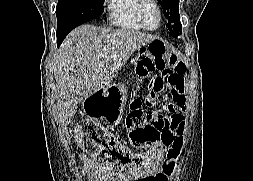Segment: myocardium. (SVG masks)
<instances>
[{"instance_id":"obj_1","label":"myocardium","mask_w":253,"mask_h":181,"mask_svg":"<svg viewBox=\"0 0 253 181\" xmlns=\"http://www.w3.org/2000/svg\"><path fill=\"white\" fill-rule=\"evenodd\" d=\"M147 4H152L158 13V24L156 27H149L146 25L144 18H143V9L145 7V5ZM135 17L137 22L139 23V25L147 31H156L157 29L160 28V26L162 25V21H163V11L161 8L160 3L157 0H138L136 7H135Z\"/></svg>"}]
</instances>
